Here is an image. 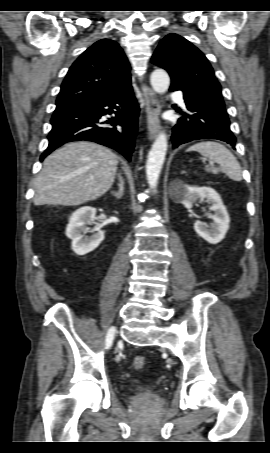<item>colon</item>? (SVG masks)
I'll list each match as a JSON object with an SVG mask.
<instances>
[{"mask_svg":"<svg viewBox=\"0 0 270 453\" xmlns=\"http://www.w3.org/2000/svg\"><path fill=\"white\" fill-rule=\"evenodd\" d=\"M133 366L137 370H143L147 366V359L144 356H136L133 360Z\"/></svg>","mask_w":270,"mask_h":453,"instance_id":"1","label":"colon"}]
</instances>
